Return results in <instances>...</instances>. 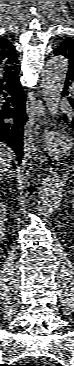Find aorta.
I'll list each match as a JSON object with an SVG mask.
<instances>
[{"mask_svg": "<svg viewBox=\"0 0 74 366\" xmlns=\"http://www.w3.org/2000/svg\"><path fill=\"white\" fill-rule=\"evenodd\" d=\"M69 61L65 56H53L46 64L42 77V92L52 121L58 119V104L67 76ZM37 208L41 215L49 216L60 202L61 179L55 169H50L38 187Z\"/></svg>", "mask_w": 74, "mask_h": 366, "instance_id": "aorta-1", "label": "aorta"}]
</instances>
